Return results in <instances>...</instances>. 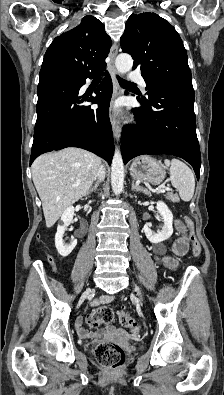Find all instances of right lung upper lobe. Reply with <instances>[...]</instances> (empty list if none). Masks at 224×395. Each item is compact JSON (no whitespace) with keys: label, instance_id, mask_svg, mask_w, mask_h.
I'll list each match as a JSON object with an SVG mask.
<instances>
[{"label":"right lung upper lobe","instance_id":"cb5924a9","mask_svg":"<svg viewBox=\"0 0 224 395\" xmlns=\"http://www.w3.org/2000/svg\"><path fill=\"white\" fill-rule=\"evenodd\" d=\"M111 45L104 25L93 16H85L78 26L54 39L42 67L54 65L76 75H93L106 67Z\"/></svg>","mask_w":224,"mask_h":395}]
</instances>
